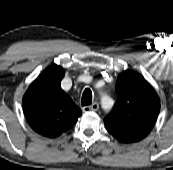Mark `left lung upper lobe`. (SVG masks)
I'll list each match as a JSON object with an SVG mask.
<instances>
[{
	"label": "left lung upper lobe",
	"mask_w": 173,
	"mask_h": 170,
	"mask_svg": "<svg viewBox=\"0 0 173 170\" xmlns=\"http://www.w3.org/2000/svg\"><path fill=\"white\" fill-rule=\"evenodd\" d=\"M118 100L104 123L108 132L121 143H134L152 130L160 100L155 90L140 74L127 70L116 83Z\"/></svg>",
	"instance_id": "1"
}]
</instances>
